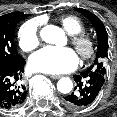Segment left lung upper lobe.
Listing matches in <instances>:
<instances>
[{"label":"left lung upper lobe","mask_w":117,"mask_h":117,"mask_svg":"<svg viewBox=\"0 0 117 117\" xmlns=\"http://www.w3.org/2000/svg\"><path fill=\"white\" fill-rule=\"evenodd\" d=\"M76 10L82 13L87 19L91 21L93 24L98 38V48H97V56L94 63L88 68V70H92L98 72L102 75H106V62L108 58V41H107V32L106 29L101 22V20L89 12L88 10L76 8Z\"/></svg>","instance_id":"left-lung-upper-lobe-1"}]
</instances>
